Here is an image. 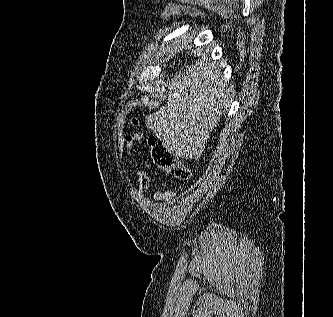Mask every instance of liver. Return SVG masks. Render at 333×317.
I'll return each mask as SVG.
<instances>
[{
  "label": "liver",
  "instance_id": "6515ba94",
  "mask_svg": "<svg viewBox=\"0 0 333 317\" xmlns=\"http://www.w3.org/2000/svg\"><path fill=\"white\" fill-rule=\"evenodd\" d=\"M168 91L167 104L146 116V123L167 150L181 158L197 159L230 105L232 89L206 57L175 75Z\"/></svg>",
  "mask_w": 333,
  "mask_h": 317
}]
</instances>
